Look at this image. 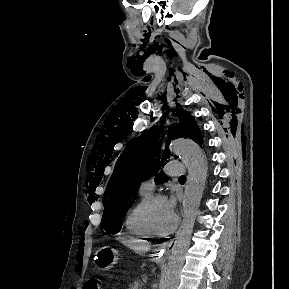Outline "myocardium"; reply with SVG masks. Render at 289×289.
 <instances>
[{"instance_id": "obj_1", "label": "myocardium", "mask_w": 289, "mask_h": 289, "mask_svg": "<svg viewBox=\"0 0 289 289\" xmlns=\"http://www.w3.org/2000/svg\"><path fill=\"white\" fill-rule=\"evenodd\" d=\"M165 199V196L162 194H154L152 195L146 202L144 208H143V212H142V221L143 224L145 226V228L147 229V231L152 235V236H166L171 234L177 227V218L174 215L173 218V222L170 225V227L166 230H158L154 227L153 223H152V218H151V213H152V208L154 206V204L158 201V200H163Z\"/></svg>"}]
</instances>
